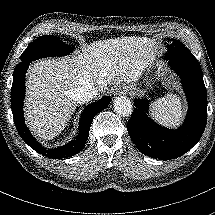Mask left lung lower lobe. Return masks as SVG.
<instances>
[{"label":"left lung lower lobe","instance_id":"1","mask_svg":"<svg viewBox=\"0 0 215 215\" xmlns=\"http://www.w3.org/2000/svg\"><path fill=\"white\" fill-rule=\"evenodd\" d=\"M165 59L180 76L187 96L189 108L183 125L176 130L158 125L148 117L149 101L136 99L127 129L143 154L170 160L188 152L201 138L207 120V94L201 67L191 52L168 54Z\"/></svg>","mask_w":215,"mask_h":215}]
</instances>
